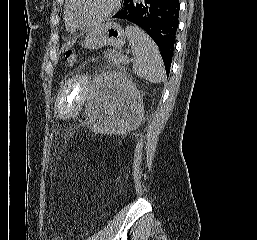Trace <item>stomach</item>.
I'll use <instances>...</instances> for the list:
<instances>
[{"label": "stomach", "mask_w": 257, "mask_h": 240, "mask_svg": "<svg viewBox=\"0 0 257 240\" xmlns=\"http://www.w3.org/2000/svg\"><path fill=\"white\" fill-rule=\"evenodd\" d=\"M126 33L114 22H104L93 27L83 44L87 49H99L104 46L121 48L125 44Z\"/></svg>", "instance_id": "stomach-1"}]
</instances>
